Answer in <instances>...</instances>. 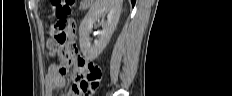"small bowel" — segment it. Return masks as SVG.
I'll return each mask as SVG.
<instances>
[{
  "mask_svg": "<svg viewBox=\"0 0 232 96\" xmlns=\"http://www.w3.org/2000/svg\"><path fill=\"white\" fill-rule=\"evenodd\" d=\"M67 34L68 35H78L80 28L79 23L76 22V19H69V22L67 23ZM56 47L55 43L52 41H48L47 48L49 50H54ZM74 61L77 60V58L73 59ZM85 68H95V63H85ZM66 68L62 66H51L48 70V73L46 75V84H47V90L46 95L51 96L56 89L63 88L66 84ZM80 91L78 89V85L74 83L71 88L69 89L68 96H79Z\"/></svg>",
  "mask_w": 232,
  "mask_h": 96,
  "instance_id": "1",
  "label": "small bowel"
}]
</instances>
